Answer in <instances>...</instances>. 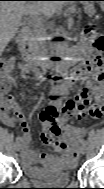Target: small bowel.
<instances>
[{"label": "small bowel", "mask_w": 104, "mask_h": 189, "mask_svg": "<svg viewBox=\"0 0 104 189\" xmlns=\"http://www.w3.org/2000/svg\"><path fill=\"white\" fill-rule=\"evenodd\" d=\"M90 72V66L87 62L79 64L71 73L67 81L60 83L53 89V95H65L69 87L73 82L78 80H86V85L80 89L74 97L73 101L78 109L75 112L65 114L61 120L58 122L59 127L64 131L65 135L70 139V141L77 146L79 144L80 135L85 130L83 127H78L73 124L74 117L79 119H99L100 115H94L90 112L86 113L85 109L94 105H100L103 99V91L99 84L93 80L87 78L88 73ZM33 73L27 65H24L21 68V77L23 79H28L30 74ZM7 81L10 83L13 82V78L6 77ZM10 95V94H9ZM11 96V95H10ZM12 97V96H11ZM13 98V97H12ZM55 104H62V101L56 100ZM0 118L2 122L7 126H12L15 123H18L22 135L19 138L21 145V154L24 165L29 170H35L33 163L38 160L49 159V156L45 153H34L30 147V127L27 122L26 116L22 109L17 105L13 98V103L8 108H5L1 114ZM78 157V149L70 153H66L58 158V161H67L74 162Z\"/></svg>", "instance_id": "c3829d8e"}]
</instances>
